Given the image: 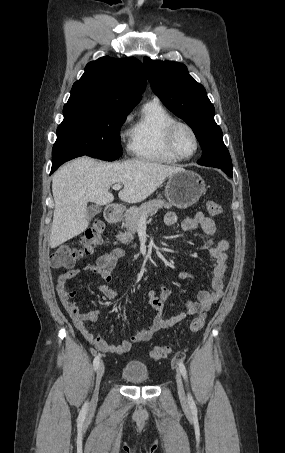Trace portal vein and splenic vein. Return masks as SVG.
Segmentation results:
<instances>
[{"label": "portal vein and splenic vein", "instance_id": "portal-vein-and-splenic-vein-1", "mask_svg": "<svg viewBox=\"0 0 285 453\" xmlns=\"http://www.w3.org/2000/svg\"><path fill=\"white\" fill-rule=\"evenodd\" d=\"M121 187H122L121 184H114L112 188H113V190H119V189H121Z\"/></svg>", "mask_w": 285, "mask_h": 453}]
</instances>
